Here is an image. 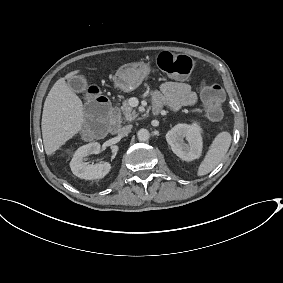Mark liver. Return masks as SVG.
Here are the masks:
<instances>
[{"label":"liver","instance_id":"6515ba94","mask_svg":"<svg viewBox=\"0 0 283 283\" xmlns=\"http://www.w3.org/2000/svg\"><path fill=\"white\" fill-rule=\"evenodd\" d=\"M81 73L73 70L60 78L50 90L43 108L41 130L47 156L54 154L85 125L81 99L67 85L66 80Z\"/></svg>","mask_w":283,"mask_h":283}]
</instances>
